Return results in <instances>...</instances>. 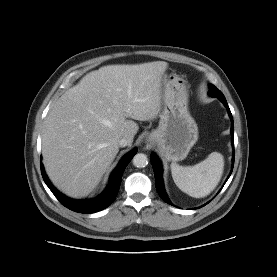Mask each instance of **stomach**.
<instances>
[{
	"label": "stomach",
	"mask_w": 277,
	"mask_h": 277,
	"mask_svg": "<svg viewBox=\"0 0 277 277\" xmlns=\"http://www.w3.org/2000/svg\"><path fill=\"white\" fill-rule=\"evenodd\" d=\"M164 107L159 115V125L146 138L168 161L187 157L198 140V127L188 111L186 81L178 75L163 76Z\"/></svg>",
	"instance_id": "obj_1"
}]
</instances>
